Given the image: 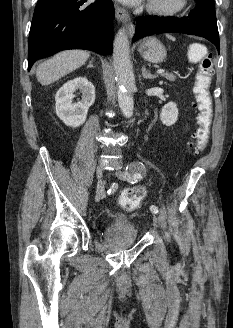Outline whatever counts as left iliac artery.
<instances>
[{
	"mask_svg": "<svg viewBox=\"0 0 233 328\" xmlns=\"http://www.w3.org/2000/svg\"><path fill=\"white\" fill-rule=\"evenodd\" d=\"M143 177V175L141 173H135L134 174V177L132 178L131 180V183H136L139 179H141ZM150 210L151 212H153L154 214H157L158 213V207L155 206V205H151L150 206Z\"/></svg>",
	"mask_w": 233,
	"mask_h": 328,
	"instance_id": "left-iliac-artery-1",
	"label": "left iliac artery"
}]
</instances>
